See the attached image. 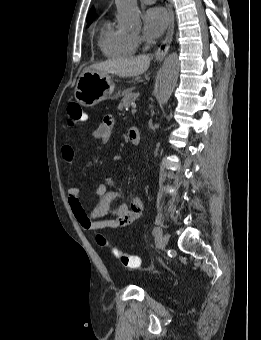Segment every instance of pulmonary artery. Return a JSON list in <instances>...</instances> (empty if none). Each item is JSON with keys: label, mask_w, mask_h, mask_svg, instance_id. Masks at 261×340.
<instances>
[{"label": "pulmonary artery", "mask_w": 261, "mask_h": 340, "mask_svg": "<svg viewBox=\"0 0 261 340\" xmlns=\"http://www.w3.org/2000/svg\"><path fill=\"white\" fill-rule=\"evenodd\" d=\"M155 0H141V2H144V3H153Z\"/></svg>", "instance_id": "1"}]
</instances>
